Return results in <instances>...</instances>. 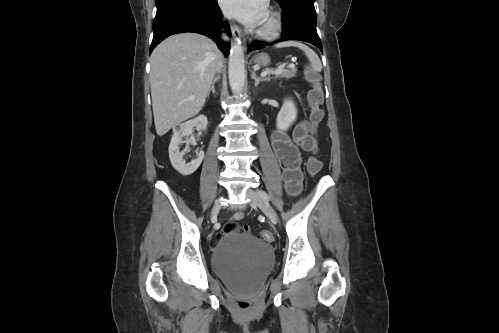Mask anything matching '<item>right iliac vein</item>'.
<instances>
[{"label": "right iliac vein", "mask_w": 499, "mask_h": 333, "mask_svg": "<svg viewBox=\"0 0 499 333\" xmlns=\"http://www.w3.org/2000/svg\"><path fill=\"white\" fill-rule=\"evenodd\" d=\"M221 208V199H218L213 206L212 213H211V219H215L220 211Z\"/></svg>", "instance_id": "right-iliac-vein-1"}]
</instances>
